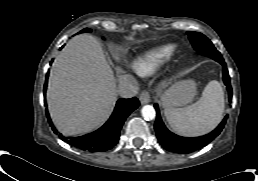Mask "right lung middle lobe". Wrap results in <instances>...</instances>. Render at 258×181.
I'll use <instances>...</instances> for the list:
<instances>
[{
	"label": "right lung middle lobe",
	"instance_id": "dd1d6c3e",
	"mask_svg": "<svg viewBox=\"0 0 258 181\" xmlns=\"http://www.w3.org/2000/svg\"><path fill=\"white\" fill-rule=\"evenodd\" d=\"M91 30L90 29H88V28H86V29H84V30H82V32H90Z\"/></svg>",
	"mask_w": 258,
	"mask_h": 181
}]
</instances>
